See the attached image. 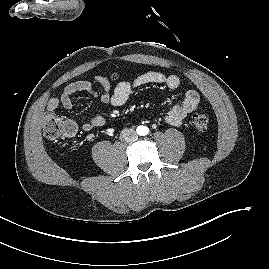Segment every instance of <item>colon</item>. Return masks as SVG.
Returning a JSON list of instances; mask_svg holds the SVG:
<instances>
[{
	"label": "colon",
	"instance_id": "1",
	"mask_svg": "<svg viewBox=\"0 0 269 269\" xmlns=\"http://www.w3.org/2000/svg\"><path fill=\"white\" fill-rule=\"evenodd\" d=\"M209 125V117L205 112L197 113L192 118V126L196 133H204ZM69 129L68 120L62 116L48 112L43 120V132L45 136L51 139H56L62 136H67Z\"/></svg>",
	"mask_w": 269,
	"mask_h": 269
}]
</instances>
